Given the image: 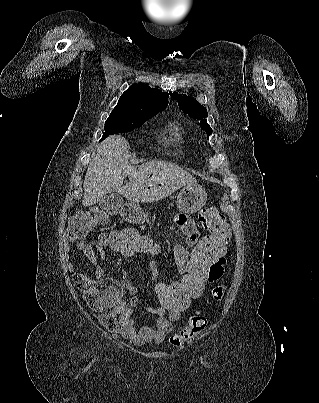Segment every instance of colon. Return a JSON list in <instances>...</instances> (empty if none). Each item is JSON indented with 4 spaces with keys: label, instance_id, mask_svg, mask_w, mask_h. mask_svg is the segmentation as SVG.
<instances>
[{
    "label": "colon",
    "instance_id": "colon-1",
    "mask_svg": "<svg viewBox=\"0 0 319 403\" xmlns=\"http://www.w3.org/2000/svg\"><path fill=\"white\" fill-rule=\"evenodd\" d=\"M104 197L103 205L92 212L85 211L70 218L68 234L72 239L66 240V247L74 248L75 240H78L84 252H97L98 248H93L92 242L98 241L101 249H108V258L122 254L123 260H136L137 254H142L143 258L147 254H160L163 241L158 240L157 234H141V226H114L113 229H104L100 236H88L87 241H83L95 223H108L116 216V210L122 208V196L117 192H106ZM199 220L210 231L205 232V238L194 242L183 275H179L176 282H155V291H159L155 299L157 313H188V309H194V300L207 296L206 284H212L208 283L210 263L226 257L232 243L231 219L223 218L216 206H211L200 212ZM150 264L152 268H161L163 263L161 259H152ZM75 282L86 295L89 279L76 274ZM212 287L211 299L222 300L226 295L225 282L213 283ZM189 317L188 323L181 321L178 332L170 337L172 345H182L205 333L211 314L208 308H201Z\"/></svg>",
    "mask_w": 319,
    "mask_h": 403
}]
</instances>
